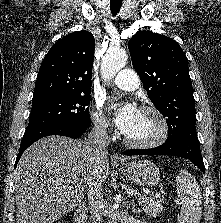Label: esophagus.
I'll use <instances>...</instances> for the list:
<instances>
[{
  "instance_id": "1",
  "label": "esophagus",
  "mask_w": 221,
  "mask_h": 223,
  "mask_svg": "<svg viewBox=\"0 0 221 223\" xmlns=\"http://www.w3.org/2000/svg\"><path fill=\"white\" fill-rule=\"evenodd\" d=\"M111 161H112L113 163H117V164H122V163L125 162V160L123 159V157H122L120 154H118V153H114V154L112 155V157H111Z\"/></svg>"
}]
</instances>
